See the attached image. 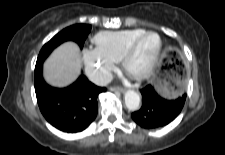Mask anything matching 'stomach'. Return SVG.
<instances>
[{
  "label": "stomach",
  "instance_id": "obj_1",
  "mask_svg": "<svg viewBox=\"0 0 225 155\" xmlns=\"http://www.w3.org/2000/svg\"><path fill=\"white\" fill-rule=\"evenodd\" d=\"M156 91L165 98H176L183 90L184 79L173 69L158 67L151 79Z\"/></svg>",
  "mask_w": 225,
  "mask_h": 155
}]
</instances>
